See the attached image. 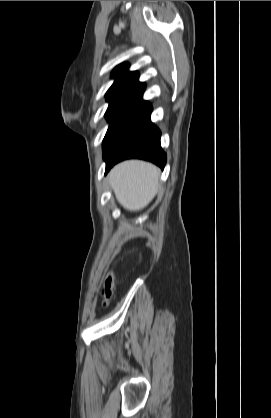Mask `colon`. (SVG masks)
I'll return each mask as SVG.
<instances>
[{"label":"colon","mask_w":271,"mask_h":418,"mask_svg":"<svg viewBox=\"0 0 271 418\" xmlns=\"http://www.w3.org/2000/svg\"><path fill=\"white\" fill-rule=\"evenodd\" d=\"M112 295V278L108 276L104 283V289L102 290L103 304L106 305Z\"/></svg>","instance_id":"1"}]
</instances>
